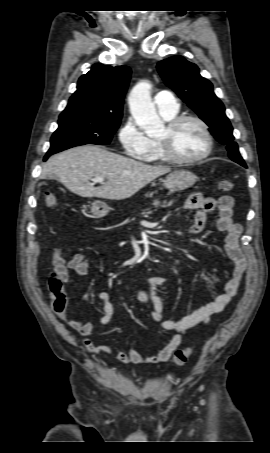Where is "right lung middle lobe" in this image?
<instances>
[{
  "label": "right lung middle lobe",
  "instance_id": "1",
  "mask_svg": "<svg viewBox=\"0 0 270 453\" xmlns=\"http://www.w3.org/2000/svg\"><path fill=\"white\" fill-rule=\"evenodd\" d=\"M120 121L121 118L96 113L61 116L58 129L51 137V147L47 154L89 143L108 145Z\"/></svg>",
  "mask_w": 270,
  "mask_h": 453
}]
</instances>
